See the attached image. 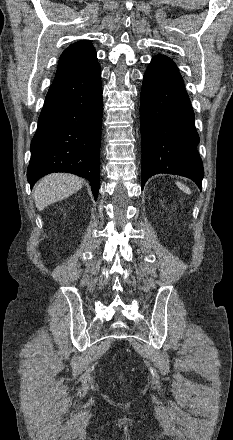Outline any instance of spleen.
Returning <instances> with one entry per match:
<instances>
[{
    "label": "spleen",
    "instance_id": "1",
    "mask_svg": "<svg viewBox=\"0 0 233 440\" xmlns=\"http://www.w3.org/2000/svg\"><path fill=\"white\" fill-rule=\"evenodd\" d=\"M176 185L185 193L187 194H191V190L189 189V187H187L186 185H184L181 182H177Z\"/></svg>",
    "mask_w": 233,
    "mask_h": 440
}]
</instances>
